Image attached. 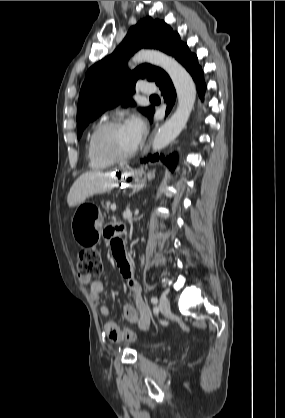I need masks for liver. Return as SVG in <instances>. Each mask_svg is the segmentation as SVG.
Returning <instances> with one entry per match:
<instances>
[{"label": "liver", "instance_id": "obj_1", "mask_svg": "<svg viewBox=\"0 0 285 418\" xmlns=\"http://www.w3.org/2000/svg\"><path fill=\"white\" fill-rule=\"evenodd\" d=\"M114 172L88 171L83 173L73 183L67 195L69 207H74L85 201L86 198L104 193L115 185Z\"/></svg>", "mask_w": 285, "mask_h": 418}]
</instances>
